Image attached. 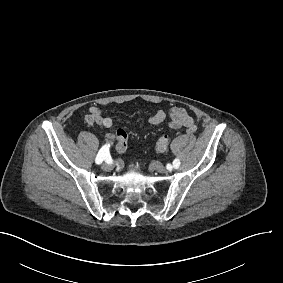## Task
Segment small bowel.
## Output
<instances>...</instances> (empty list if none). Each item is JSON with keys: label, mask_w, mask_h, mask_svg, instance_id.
<instances>
[{"label": "small bowel", "mask_w": 283, "mask_h": 283, "mask_svg": "<svg viewBox=\"0 0 283 283\" xmlns=\"http://www.w3.org/2000/svg\"><path fill=\"white\" fill-rule=\"evenodd\" d=\"M166 119L168 120V127L171 129L186 128L188 133H194L197 129L192 116L185 108L175 107L170 110L159 109L149 117V123L152 125H159ZM85 122L88 124H95L104 129H110L113 126V120L105 116L102 110L97 106H90L85 116ZM107 138L118 141L117 150L123 153L126 150V134L122 129L107 134Z\"/></svg>", "instance_id": "obj_1"}]
</instances>
